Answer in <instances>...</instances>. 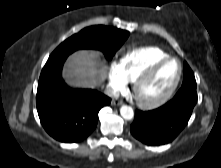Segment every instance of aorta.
<instances>
[{"label": "aorta", "mask_w": 221, "mask_h": 168, "mask_svg": "<svg viewBox=\"0 0 221 168\" xmlns=\"http://www.w3.org/2000/svg\"><path fill=\"white\" fill-rule=\"evenodd\" d=\"M120 114L126 120H130L134 116L133 109L130 106H127V105H123L120 108Z\"/></svg>", "instance_id": "762f6f07"}]
</instances>
